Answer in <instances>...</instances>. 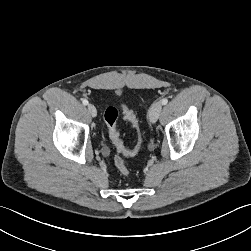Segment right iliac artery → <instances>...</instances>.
<instances>
[{
	"instance_id": "82829eb1",
	"label": "right iliac artery",
	"mask_w": 251,
	"mask_h": 251,
	"mask_svg": "<svg viewBox=\"0 0 251 251\" xmlns=\"http://www.w3.org/2000/svg\"><path fill=\"white\" fill-rule=\"evenodd\" d=\"M82 103H83L84 105H88V101H87L86 99H84V100L82 101Z\"/></svg>"
}]
</instances>
